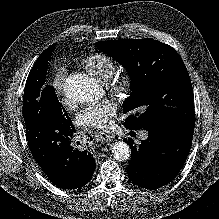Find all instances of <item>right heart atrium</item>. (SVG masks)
I'll use <instances>...</instances> for the list:
<instances>
[{"label": "right heart atrium", "mask_w": 219, "mask_h": 219, "mask_svg": "<svg viewBox=\"0 0 219 219\" xmlns=\"http://www.w3.org/2000/svg\"><path fill=\"white\" fill-rule=\"evenodd\" d=\"M66 77L67 70L65 67H60L56 70L52 80V86L56 94L61 95L63 93Z\"/></svg>", "instance_id": "obj_1"}]
</instances>
